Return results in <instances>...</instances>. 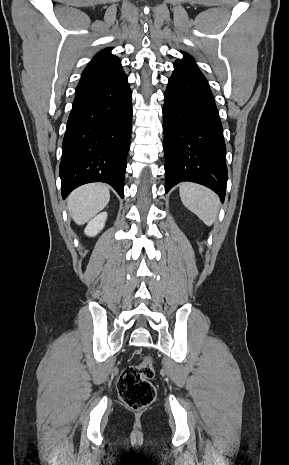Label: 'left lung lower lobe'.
<instances>
[{"label":"left lung lower lobe","mask_w":289,"mask_h":465,"mask_svg":"<svg viewBox=\"0 0 289 465\" xmlns=\"http://www.w3.org/2000/svg\"><path fill=\"white\" fill-rule=\"evenodd\" d=\"M166 187L196 182L225 198L227 167L222 124L199 69L174 66L164 94Z\"/></svg>","instance_id":"left-lung-lower-lobe-1"}]
</instances>
